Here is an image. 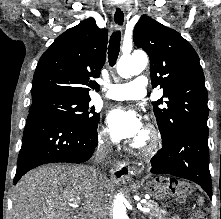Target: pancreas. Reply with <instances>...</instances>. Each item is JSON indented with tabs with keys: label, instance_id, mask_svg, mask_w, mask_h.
I'll return each mask as SVG.
<instances>
[{
	"label": "pancreas",
	"instance_id": "obj_1",
	"mask_svg": "<svg viewBox=\"0 0 221 219\" xmlns=\"http://www.w3.org/2000/svg\"><path fill=\"white\" fill-rule=\"evenodd\" d=\"M145 206L150 208V212L146 213L150 219H180L178 216L167 218L170 213L160 208L154 201L147 202Z\"/></svg>",
	"mask_w": 221,
	"mask_h": 219
}]
</instances>
